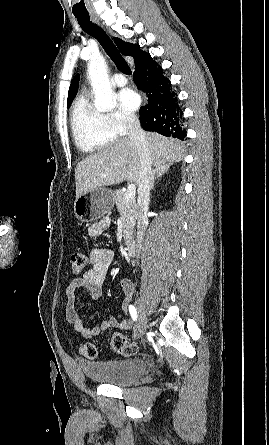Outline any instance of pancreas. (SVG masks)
<instances>
[{
  "mask_svg": "<svg viewBox=\"0 0 269 445\" xmlns=\"http://www.w3.org/2000/svg\"><path fill=\"white\" fill-rule=\"evenodd\" d=\"M125 195L126 192L122 190L115 192L116 206L123 222L124 241L128 244L133 240V230L138 217V208L135 199L126 202Z\"/></svg>",
  "mask_w": 269,
  "mask_h": 445,
  "instance_id": "obj_1",
  "label": "pancreas"
}]
</instances>
